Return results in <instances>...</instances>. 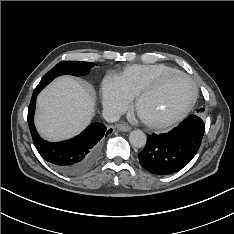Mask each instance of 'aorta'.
<instances>
[{
  "mask_svg": "<svg viewBox=\"0 0 234 234\" xmlns=\"http://www.w3.org/2000/svg\"><path fill=\"white\" fill-rule=\"evenodd\" d=\"M129 141L136 148L144 147L146 144V135L141 130H133L130 132Z\"/></svg>",
  "mask_w": 234,
  "mask_h": 234,
  "instance_id": "762f6f07",
  "label": "aorta"
}]
</instances>
